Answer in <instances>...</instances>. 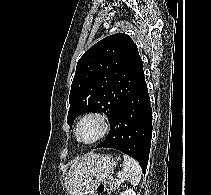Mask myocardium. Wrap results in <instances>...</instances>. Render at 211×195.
Returning <instances> with one entry per match:
<instances>
[{"mask_svg":"<svg viewBox=\"0 0 211 195\" xmlns=\"http://www.w3.org/2000/svg\"><path fill=\"white\" fill-rule=\"evenodd\" d=\"M88 119L97 120L100 124V131H99L98 135L95 138H93L92 140L83 141L80 138V128H81L82 124ZM110 126H111L110 119L104 113L99 112V111H92V112H89V113H86L85 115H83L80 118V120L77 122L76 129H75V135H76L78 142H80V143H83L86 145L94 144V143L98 142L99 140H101L102 138H104L108 134V132L110 130Z\"/></svg>","mask_w":211,"mask_h":195,"instance_id":"myocardium-1","label":"myocardium"}]
</instances>
